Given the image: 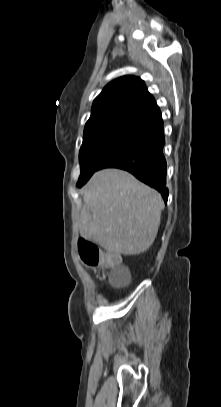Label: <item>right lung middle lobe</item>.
<instances>
[{
	"label": "right lung middle lobe",
	"mask_w": 221,
	"mask_h": 407,
	"mask_svg": "<svg viewBox=\"0 0 221 407\" xmlns=\"http://www.w3.org/2000/svg\"><path fill=\"white\" fill-rule=\"evenodd\" d=\"M137 128L134 125H118L84 135L79 152L81 172L77 187H82L100 169L104 160Z\"/></svg>",
	"instance_id": "1"
}]
</instances>
